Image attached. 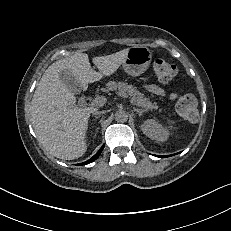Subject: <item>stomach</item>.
Listing matches in <instances>:
<instances>
[{
  "mask_svg": "<svg viewBox=\"0 0 231 231\" xmlns=\"http://www.w3.org/2000/svg\"><path fill=\"white\" fill-rule=\"evenodd\" d=\"M152 60V52L146 46H134L128 51L122 66L130 76H139L144 73Z\"/></svg>",
  "mask_w": 231,
  "mask_h": 231,
  "instance_id": "0dacf381",
  "label": "stomach"
}]
</instances>
